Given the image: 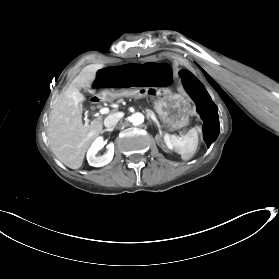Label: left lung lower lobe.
Masks as SVG:
<instances>
[{
  "mask_svg": "<svg viewBox=\"0 0 279 279\" xmlns=\"http://www.w3.org/2000/svg\"><path fill=\"white\" fill-rule=\"evenodd\" d=\"M180 75L184 80L186 90L195 101L197 110L204 121L203 137L208 147L218 136L219 120L216 105L211 100L208 92L201 82L194 77L188 70L180 71Z\"/></svg>",
  "mask_w": 279,
  "mask_h": 279,
  "instance_id": "left-lung-lower-lobe-1",
  "label": "left lung lower lobe"
}]
</instances>
